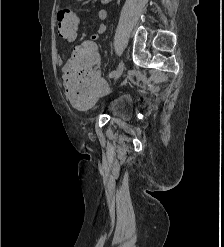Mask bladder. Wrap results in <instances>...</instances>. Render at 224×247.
<instances>
[{
	"instance_id": "bladder-1",
	"label": "bladder",
	"mask_w": 224,
	"mask_h": 247,
	"mask_svg": "<svg viewBox=\"0 0 224 247\" xmlns=\"http://www.w3.org/2000/svg\"><path fill=\"white\" fill-rule=\"evenodd\" d=\"M101 112L121 120H130L134 113L132 97L127 93L114 95L102 105Z\"/></svg>"
}]
</instances>
